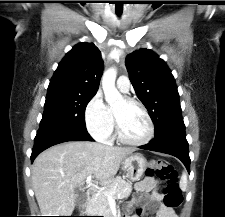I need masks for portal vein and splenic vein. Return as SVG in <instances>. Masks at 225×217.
<instances>
[{
    "label": "portal vein and splenic vein",
    "mask_w": 225,
    "mask_h": 217,
    "mask_svg": "<svg viewBox=\"0 0 225 217\" xmlns=\"http://www.w3.org/2000/svg\"><path fill=\"white\" fill-rule=\"evenodd\" d=\"M86 182L88 184V187H93V188H97L94 184H92L91 182V176H88L87 179H86ZM104 189H99V192L103 191ZM114 193L112 192H109V193H106V195L108 196V198H112V195Z\"/></svg>",
    "instance_id": "portal-vein-and-splenic-vein-1"
}]
</instances>
